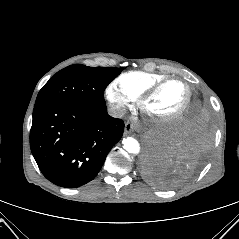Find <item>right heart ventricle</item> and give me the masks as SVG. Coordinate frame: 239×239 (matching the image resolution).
I'll list each match as a JSON object with an SVG mask.
<instances>
[{
    "label": "right heart ventricle",
    "mask_w": 239,
    "mask_h": 239,
    "mask_svg": "<svg viewBox=\"0 0 239 239\" xmlns=\"http://www.w3.org/2000/svg\"><path fill=\"white\" fill-rule=\"evenodd\" d=\"M167 77L160 73L130 71L120 75L116 83L126 94L136 100L151 86Z\"/></svg>",
    "instance_id": "right-heart-ventricle-1"
}]
</instances>
